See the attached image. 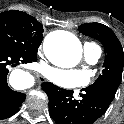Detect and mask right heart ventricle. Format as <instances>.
Returning <instances> with one entry per match:
<instances>
[{"label": "right heart ventricle", "mask_w": 124, "mask_h": 124, "mask_svg": "<svg viewBox=\"0 0 124 124\" xmlns=\"http://www.w3.org/2000/svg\"><path fill=\"white\" fill-rule=\"evenodd\" d=\"M86 44H92V45H93V43H89V42H88V43H86Z\"/></svg>", "instance_id": "right-heart-ventricle-1"}]
</instances>
